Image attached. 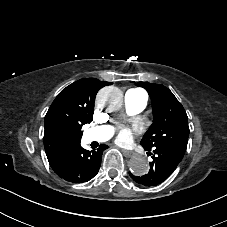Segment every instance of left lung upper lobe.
I'll return each mask as SVG.
<instances>
[{
    "label": "left lung upper lobe",
    "instance_id": "5c2ea615",
    "mask_svg": "<svg viewBox=\"0 0 227 227\" xmlns=\"http://www.w3.org/2000/svg\"><path fill=\"white\" fill-rule=\"evenodd\" d=\"M145 88L152 101L154 120L144 134L141 145L145 150L167 148L178 155H184L189 126L187 114L173 93L163 85L138 82Z\"/></svg>",
    "mask_w": 227,
    "mask_h": 227
}]
</instances>
